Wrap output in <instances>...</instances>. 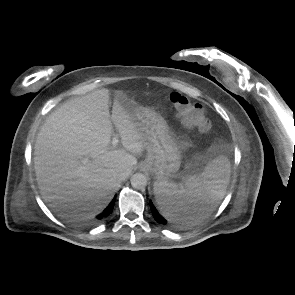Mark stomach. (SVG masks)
Here are the masks:
<instances>
[{
  "instance_id": "1",
  "label": "stomach",
  "mask_w": 295,
  "mask_h": 295,
  "mask_svg": "<svg viewBox=\"0 0 295 295\" xmlns=\"http://www.w3.org/2000/svg\"><path fill=\"white\" fill-rule=\"evenodd\" d=\"M136 129L145 138L147 158L143 169L155 174L158 180L177 176L182 159V145L170 130L166 120L151 107L122 97Z\"/></svg>"
}]
</instances>
